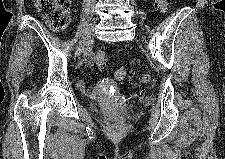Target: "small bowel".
I'll return each instance as SVG.
<instances>
[{
  "label": "small bowel",
  "mask_w": 225,
  "mask_h": 159,
  "mask_svg": "<svg viewBox=\"0 0 225 159\" xmlns=\"http://www.w3.org/2000/svg\"><path fill=\"white\" fill-rule=\"evenodd\" d=\"M93 63H94L93 55H92V53H88L86 55V57H85L84 64L87 65V66H91V65H93ZM102 83L106 84V83H109V81L108 80H103ZM77 86L82 91H86L87 90L86 85H85L84 81H82V80H78L77 81ZM95 90H96V88H93V89L87 90V91H89L91 93H94Z\"/></svg>",
  "instance_id": "c3829d8e"
}]
</instances>
